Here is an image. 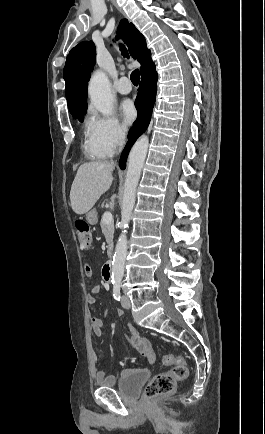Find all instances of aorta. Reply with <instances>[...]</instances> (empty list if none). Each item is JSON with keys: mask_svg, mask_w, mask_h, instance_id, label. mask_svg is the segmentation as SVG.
I'll return each mask as SVG.
<instances>
[{"mask_svg": "<svg viewBox=\"0 0 265 434\" xmlns=\"http://www.w3.org/2000/svg\"><path fill=\"white\" fill-rule=\"evenodd\" d=\"M88 94L91 104L95 106L98 112L103 116H112L113 98L111 94L110 82L102 72L96 70L92 74L88 86ZM149 140L147 136H141L135 142L128 158V170L124 184V194L121 206V228L122 232L116 244L112 260V282H121L124 276L125 260L127 256V228L135 206L136 188L141 176V170L148 152Z\"/></svg>", "mask_w": 265, "mask_h": 434, "instance_id": "aorta-1", "label": "aorta"}]
</instances>
